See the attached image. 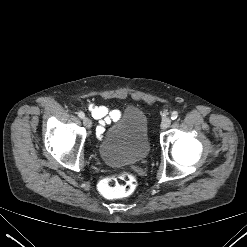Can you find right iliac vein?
Instances as JSON below:
<instances>
[{
	"label": "right iliac vein",
	"mask_w": 247,
	"mask_h": 247,
	"mask_svg": "<svg viewBox=\"0 0 247 247\" xmlns=\"http://www.w3.org/2000/svg\"><path fill=\"white\" fill-rule=\"evenodd\" d=\"M83 124L86 128H91L92 126V121L88 117L83 118Z\"/></svg>",
	"instance_id": "obj_1"
}]
</instances>
